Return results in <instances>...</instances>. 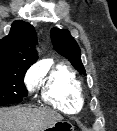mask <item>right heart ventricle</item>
<instances>
[{"instance_id":"e07e8e85","label":"right heart ventricle","mask_w":117,"mask_h":131,"mask_svg":"<svg viewBox=\"0 0 117 131\" xmlns=\"http://www.w3.org/2000/svg\"><path fill=\"white\" fill-rule=\"evenodd\" d=\"M42 98L59 110L76 113L84 105L85 90L76 73L60 63L45 76Z\"/></svg>"}]
</instances>
